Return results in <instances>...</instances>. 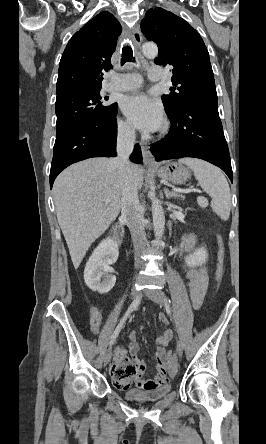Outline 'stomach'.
I'll return each mask as SVG.
<instances>
[{"mask_svg": "<svg viewBox=\"0 0 266 444\" xmlns=\"http://www.w3.org/2000/svg\"><path fill=\"white\" fill-rule=\"evenodd\" d=\"M155 172L160 178L175 184H182L191 176L190 171L177 162H169L164 166L156 168Z\"/></svg>", "mask_w": 266, "mask_h": 444, "instance_id": "stomach-1", "label": "stomach"}]
</instances>
